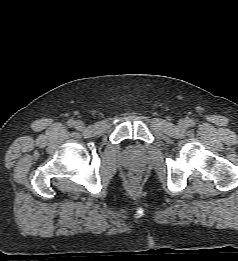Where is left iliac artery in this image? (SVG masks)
<instances>
[{
    "label": "left iliac artery",
    "instance_id": "44dca946",
    "mask_svg": "<svg viewBox=\"0 0 238 261\" xmlns=\"http://www.w3.org/2000/svg\"><path fill=\"white\" fill-rule=\"evenodd\" d=\"M188 125L191 127L194 126L195 125L194 120H192V119L188 120Z\"/></svg>",
    "mask_w": 238,
    "mask_h": 261
}]
</instances>
